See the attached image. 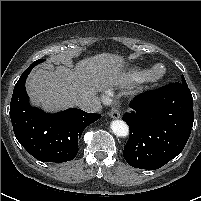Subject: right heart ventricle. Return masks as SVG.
I'll use <instances>...</instances> for the list:
<instances>
[{"label": "right heart ventricle", "mask_w": 201, "mask_h": 201, "mask_svg": "<svg viewBox=\"0 0 201 201\" xmlns=\"http://www.w3.org/2000/svg\"><path fill=\"white\" fill-rule=\"evenodd\" d=\"M146 73V69L134 67L126 73L125 79L129 83H137L142 81Z\"/></svg>", "instance_id": "e07e8e85"}]
</instances>
